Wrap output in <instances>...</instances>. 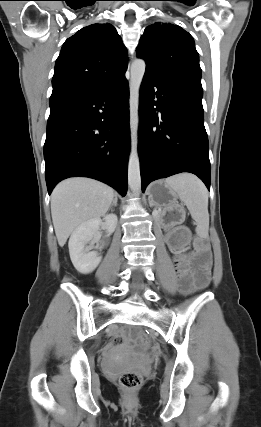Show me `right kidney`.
<instances>
[{"instance_id": "ca27d5eb", "label": "right kidney", "mask_w": 261, "mask_h": 427, "mask_svg": "<svg viewBox=\"0 0 261 427\" xmlns=\"http://www.w3.org/2000/svg\"><path fill=\"white\" fill-rule=\"evenodd\" d=\"M103 221L100 218H96L82 223L75 228L69 239L68 246L71 261L74 267L83 274L94 271L102 258L98 252L90 251L87 243L91 239L99 240L101 225L105 226L107 233H113L118 219L115 214H107L104 216Z\"/></svg>"}]
</instances>
